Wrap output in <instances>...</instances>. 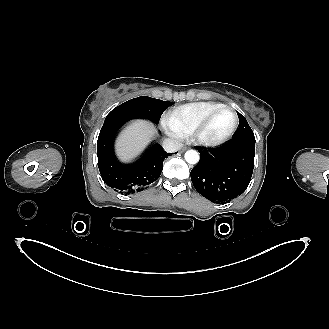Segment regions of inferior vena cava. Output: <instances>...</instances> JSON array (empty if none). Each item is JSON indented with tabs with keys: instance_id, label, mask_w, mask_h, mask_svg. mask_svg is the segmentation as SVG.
Instances as JSON below:
<instances>
[{
	"instance_id": "1",
	"label": "inferior vena cava",
	"mask_w": 329,
	"mask_h": 329,
	"mask_svg": "<svg viewBox=\"0 0 329 329\" xmlns=\"http://www.w3.org/2000/svg\"><path fill=\"white\" fill-rule=\"evenodd\" d=\"M183 144L178 140L165 139L163 141V148L168 153H173L180 150Z\"/></svg>"
}]
</instances>
